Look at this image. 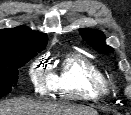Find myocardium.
<instances>
[{"instance_id":"1","label":"myocardium","mask_w":131,"mask_h":115,"mask_svg":"<svg viewBox=\"0 0 131 115\" xmlns=\"http://www.w3.org/2000/svg\"><path fill=\"white\" fill-rule=\"evenodd\" d=\"M106 84L110 88L111 84H110V82L108 80L106 81Z\"/></svg>"}]
</instances>
